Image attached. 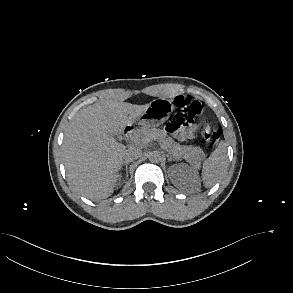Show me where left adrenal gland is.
I'll return each instance as SVG.
<instances>
[{"instance_id":"1","label":"left adrenal gland","mask_w":293,"mask_h":293,"mask_svg":"<svg viewBox=\"0 0 293 293\" xmlns=\"http://www.w3.org/2000/svg\"><path fill=\"white\" fill-rule=\"evenodd\" d=\"M167 157H168V162L176 160V159H174V158H172L170 156H167Z\"/></svg>"}]
</instances>
